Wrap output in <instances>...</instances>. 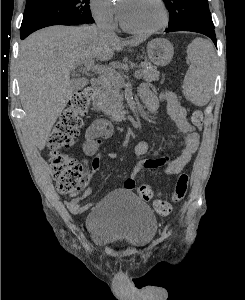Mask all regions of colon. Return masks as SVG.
<instances>
[{"label":"colon","instance_id":"1","mask_svg":"<svg viewBox=\"0 0 245 300\" xmlns=\"http://www.w3.org/2000/svg\"><path fill=\"white\" fill-rule=\"evenodd\" d=\"M93 98V90L86 88L76 92L68 106L61 112L53 131L49 137L50 165L52 176L56 181L58 191L67 196H76L88 183L89 176L85 173L81 162L71 155L63 152L72 145L82 125V117L86 114ZM192 123L196 127L203 124V114L196 110L192 114ZM189 177L181 174L176 181L172 194V202L179 203L187 193ZM138 196L149 201L153 197V189L147 184L139 186ZM156 212L166 216L172 211V204L165 200H156L154 203Z\"/></svg>","mask_w":245,"mask_h":300}]
</instances>
